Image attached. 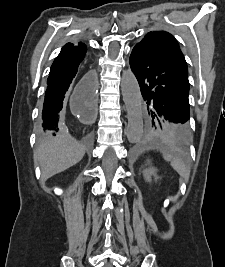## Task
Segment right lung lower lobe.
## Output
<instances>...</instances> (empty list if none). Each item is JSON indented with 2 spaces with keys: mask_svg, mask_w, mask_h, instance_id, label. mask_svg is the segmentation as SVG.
Returning a JSON list of instances; mask_svg holds the SVG:
<instances>
[{
  "mask_svg": "<svg viewBox=\"0 0 225 267\" xmlns=\"http://www.w3.org/2000/svg\"><path fill=\"white\" fill-rule=\"evenodd\" d=\"M86 61V46L81 42L67 43L55 58L47 79L42 110V135H55L61 129L60 112L63 102L83 71ZM85 80L90 84L88 98L93 100V80L89 75L85 76Z\"/></svg>",
  "mask_w": 225,
  "mask_h": 267,
  "instance_id": "obj_1",
  "label": "right lung lower lobe"
}]
</instances>
